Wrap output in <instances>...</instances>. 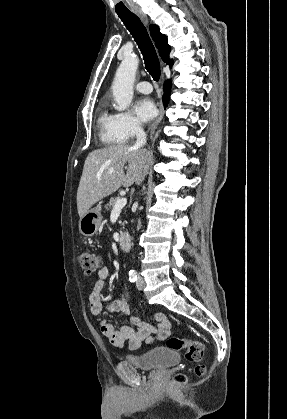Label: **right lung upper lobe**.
Instances as JSON below:
<instances>
[{"label":"right lung upper lobe","mask_w":287,"mask_h":419,"mask_svg":"<svg viewBox=\"0 0 287 419\" xmlns=\"http://www.w3.org/2000/svg\"><path fill=\"white\" fill-rule=\"evenodd\" d=\"M150 32H151V36L153 40L155 41L157 48L159 49L161 58L163 59L164 62L172 66L173 61L170 60L169 58L171 48L167 43L166 36L160 33L159 28L156 25L150 26Z\"/></svg>","instance_id":"cb5924a9"}]
</instances>
